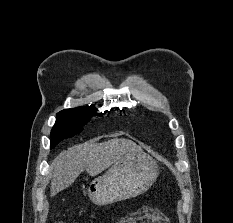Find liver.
<instances>
[{"label": "liver", "mask_w": 233, "mask_h": 223, "mask_svg": "<svg viewBox=\"0 0 233 223\" xmlns=\"http://www.w3.org/2000/svg\"><path fill=\"white\" fill-rule=\"evenodd\" d=\"M136 147L138 145L131 139L114 137V139H108L102 143H94V141L77 143L66 151H61L50 165L51 195H56L61 189L72 185L82 171H87L89 175H98L113 165L114 161L119 159L123 153L136 149Z\"/></svg>", "instance_id": "liver-1"}]
</instances>
